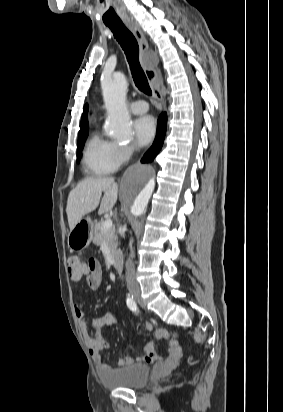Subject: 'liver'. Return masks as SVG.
Returning a JSON list of instances; mask_svg holds the SVG:
<instances>
[{
	"label": "liver",
	"mask_w": 283,
	"mask_h": 412,
	"mask_svg": "<svg viewBox=\"0 0 283 412\" xmlns=\"http://www.w3.org/2000/svg\"><path fill=\"white\" fill-rule=\"evenodd\" d=\"M102 192L104 196L101 201ZM118 197V185L112 177L87 178L69 193L66 213L70 231L82 218L96 210L104 214L115 205ZM101 201V203H100Z\"/></svg>",
	"instance_id": "1"
}]
</instances>
